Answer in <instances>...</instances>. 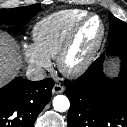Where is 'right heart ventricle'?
Instances as JSON below:
<instances>
[{"label":"right heart ventricle","instance_id":"right-heart-ventricle-1","mask_svg":"<svg viewBox=\"0 0 127 127\" xmlns=\"http://www.w3.org/2000/svg\"><path fill=\"white\" fill-rule=\"evenodd\" d=\"M87 11L80 9L62 10L39 20L32 31L34 44L48 58H55L73 26Z\"/></svg>","mask_w":127,"mask_h":127}]
</instances>
